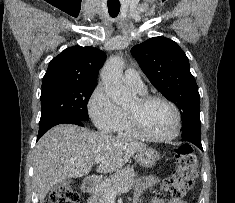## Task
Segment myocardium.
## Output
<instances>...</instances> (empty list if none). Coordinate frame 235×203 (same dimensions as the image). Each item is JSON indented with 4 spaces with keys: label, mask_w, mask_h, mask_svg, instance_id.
Returning <instances> with one entry per match:
<instances>
[{
    "label": "myocardium",
    "mask_w": 235,
    "mask_h": 203,
    "mask_svg": "<svg viewBox=\"0 0 235 203\" xmlns=\"http://www.w3.org/2000/svg\"><path fill=\"white\" fill-rule=\"evenodd\" d=\"M137 100L140 105H146L148 103L155 102V101L164 102L168 106H170V108L173 110L174 115H175V125H174L173 131L169 135H166V136H155L145 131L135 111L126 108V115H127L129 125L132 131L138 137L149 140V141H153V142H168V141L175 139L179 135L180 130H181V124H182L181 113H180L179 108L173 101L163 96L148 95V94H142L138 96Z\"/></svg>",
    "instance_id": "obj_1"
}]
</instances>
